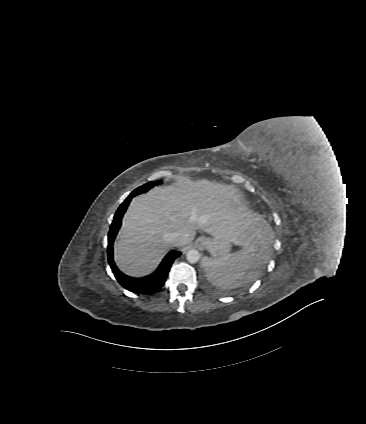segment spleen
<instances>
[{
	"label": "spleen",
	"instance_id": "spleen-1",
	"mask_svg": "<svg viewBox=\"0 0 366 424\" xmlns=\"http://www.w3.org/2000/svg\"><path fill=\"white\" fill-rule=\"evenodd\" d=\"M263 258V249L251 244L241 251L218 259L206 258L204 270L214 286L222 289L237 288L256 276V270Z\"/></svg>",
	"mask_w": 366,
	"mask_h": 424
}]
</instances>
